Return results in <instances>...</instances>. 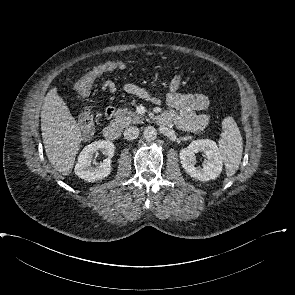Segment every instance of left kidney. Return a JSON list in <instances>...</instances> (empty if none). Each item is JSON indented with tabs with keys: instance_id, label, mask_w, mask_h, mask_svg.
Masks as SVG:
<instances>
[{
	"instance_id": "1",
	"label": "left kidney",
	"mask_w": 295,
	"mask_h": 295,
	"mask_svg": "<svg viewBox=\"0 0 295 295\" xmlns=\"http://www.w3.org/2000/svg\"><path fill=\"white\" fill-rule=\"evenodd\" d=\"M203 151L207 163L203 167L195 166V153ZM180 162L184 170L193 178L200 181H209L217 178L223 168V161L216 143L210 139L194 140L180 151Z\"/></svg>"
}]
</instances>
